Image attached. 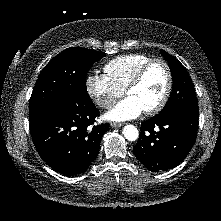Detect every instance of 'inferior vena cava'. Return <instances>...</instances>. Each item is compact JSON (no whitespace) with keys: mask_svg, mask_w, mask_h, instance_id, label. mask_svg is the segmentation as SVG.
<instances>
[{"mask_svg":"<svg viewBox=\"0 0 221 221\" xmlns=\"http://www.w3.org/2000/svg\"><path fill=\"white\" fill-rule=\"evenodd\" d=\"M112 103L107 101V100H103L101 101V106L106 107V108H111L112 107Z\"/></svg>","mask_w":221,"mask_h":221,"instance_id":"1","label":"inferior vena cava"}]
</instances>
